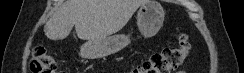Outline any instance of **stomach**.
Instances as JSON below:
<instances>
[{
	"label": "stomach",
	"mask_w": 244,
	"mask_h": 73,
	"mask_svg": "<svg viewBox=\"0 0 244 73\" xmlns=\"http://www.w3.org/2000/svg\"><path fill=\"white\" fill-rule=\"evenodd\" d=\"M165 12L156 0L143 3L137 13V25L144 37L154 36L163 25ZM131 43L129 35L118 34L101 40H89L80 48L82 57L95 59L117 53Z\"/></svg>",
	"instance_id": "0dacf381"
}]
</instances>
